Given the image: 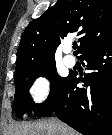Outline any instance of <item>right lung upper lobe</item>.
Masks as SVG:
<instances>
[{"label": "right lung upper lobe", "instance_id": "1", "mask_svg": "<svg viewBox=\"0 0 112 135\" xmlns=\"http://www.w3.org/2000/svg\"><path fill=\"white\" fill-rule=\"evenodd\" d=\"M68 34H76L81 54L111 41L112 1L58 0L23 32L14 76L55 62V50Z\"/></svg>", "mask_w": 112, "mask_h": 135}]
</instances>
